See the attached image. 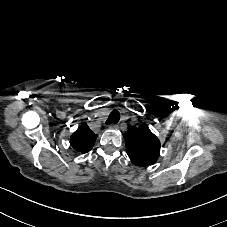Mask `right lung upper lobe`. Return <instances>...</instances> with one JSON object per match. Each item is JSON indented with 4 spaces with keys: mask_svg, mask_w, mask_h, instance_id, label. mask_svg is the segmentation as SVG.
Returning <instances> with one entry per match:
<instances>
[{
    "mask_svg": "<svg viewBox=\"0 0 227 227\" xmlns=\"http://www.w3.org/2000/svg\"><path fill=\"white\" fill-rule=\"evenodd\" d=\"M97 135L94 134L86 123H83L71 136L70 144L78 152L90 151L95 143Z\"/></svg>",
    "mask_w": 227,
    "mask_h": 227,
    "instance_id": "cb5924a9",
    "label": "right lung upper lobe"
}]
</instances>
